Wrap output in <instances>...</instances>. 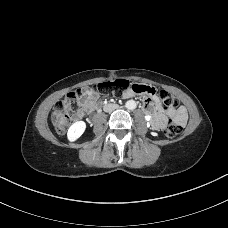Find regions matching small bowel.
I'll return each instance as SVG.
<instances>
[{
    "instance_id": "obj_1",
    "label": "small bowel",
    "mask_w": 228,
    "mask_h": 228,
    "mask_svg": "<svg viewBox=\"0 0 228 228\" xmlns=\"http://www.w3.org/2000/svg\"><path fill=\"white\" fill-rule=\"evenodd\" d=\"M87 94L85 98L80 102L81 108L78 110L76 117L78 119L83 118L85 113L94 112L99 103V93L94 91L92 88H85ZM135 93L131 89H127L123 92L124 98H132ZM144 111L146 114L151 115L152 123L151 126L153 129L159 130L162 129L165 125V117L162 114V107L160 100L157 96H153L150 99H147L144 106ZM170 114L175 118L176 122L179 125H185L187 122V111L185 107L180 106L177 109L170 111Z\"/></svg>"
}]
</instances>
